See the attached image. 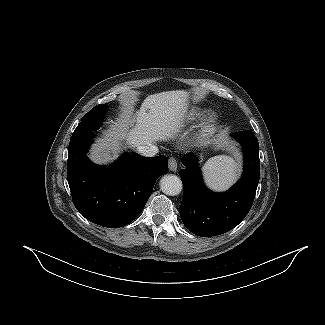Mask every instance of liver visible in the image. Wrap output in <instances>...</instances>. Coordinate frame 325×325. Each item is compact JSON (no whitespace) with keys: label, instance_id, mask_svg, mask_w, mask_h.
<instances>
[{"label":"liver","instance_id":"1","mask_svg":"<svg viewBox=\"0 0 325 325\" xmlns=\"http://www.w3.org/2000/svg\"><path fill=\"white\" fill-rule=\"evenodd\" d=\"M188 98L189 93L184 90L166 91L149 95L132 119V109L126 110L120 120V130L106 133L96 145L95 161L102 163L115 159L122 140H126L130 148H138L172 138L187 112ZM130 124L132 128L129 130Z\"/></svg>","mask_w":325,"mask_h":325}]
</instances>
